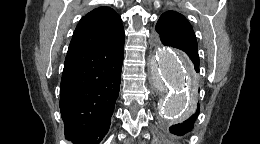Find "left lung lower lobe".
<instances>
[{"label":"left lung lower lobe","instance_id":"obj_1","mask_svg":"<svg viewBox=\"0 0 260 144\" xmlns=\"http://www.w3.org/2000/svg\"><path fill=\"white\" fill-rule=\"evenodd\" d=\"M163 44L184 51L193 62L195 70L196 71L198 70L199 55H198L197 42L180 40V39H166L163 41ZM199 108L200 105L198 103L197 111L184 122L172 125L170 127V132L181 136L191 131L193 129L194 122L197 116L199 115L200 112Z\"/></svg>","mask_w":260,"mask_h":144}]
</instances>
